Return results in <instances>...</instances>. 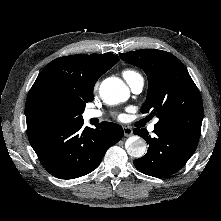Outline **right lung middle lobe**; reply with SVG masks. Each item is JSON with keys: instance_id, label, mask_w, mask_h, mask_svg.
Here are the masks:
<instances>
[{"instance_id": "obj_1", "label": "right lung middle lobe", "mask_w": 221, "mask_h": 221, "mask_svg": "<svg viewBox=\"0 0 221 221\" xmlns=\"http://www.w3.org/2000/svg\"><path fill=\"white\" fill-rule=\"evenodd\" d=\"M85 104L60 95L46 96L40 104V115L44 126L68 125L82 121Z\"/></svg>"}]
</instances>
